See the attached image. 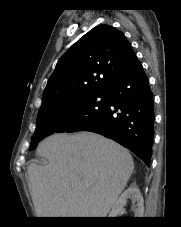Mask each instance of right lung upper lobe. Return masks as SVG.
I'll return each mask as SVG.
<instances>
[{"mask_svg": "<svg viewBox=\"0 0 181 227\" xmlns=\"http://www.w3.org/2000/svg\"><path fill=\"white\" fill-rule=\"evenodd\" d=\"M136 57L121 31L99 25L80 38L57 62L42 96L40 110L109 86Z\"/></svg>", "mask_w": 181, "mask_h": 227, "instance_id": "obj_1", "label": "right lung upper lobe"}]
</instances>
